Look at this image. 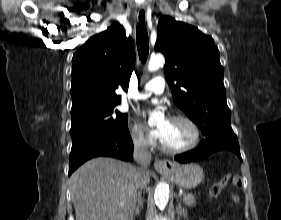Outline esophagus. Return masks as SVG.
Here are the masks:
<instances>
[{"label":"esophagus","instance_id":"obj_1","mask_svg":"<svg viewBox=\"0 0 281 220\" xmlns=\"http://www.w3.org/2000/svg\"><path fill=\"white\" fill-rule=\"evenodd\" d=\"M146 9L140 8L137 12V20L140 24L146 23ZM154 168L160 173H168L174 168V164L170 160H156L154 163Z\"/></svg>","mask_w":281,"mask_h":220}]
</instances>
